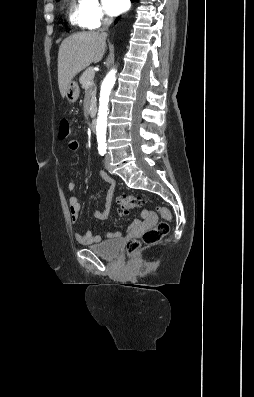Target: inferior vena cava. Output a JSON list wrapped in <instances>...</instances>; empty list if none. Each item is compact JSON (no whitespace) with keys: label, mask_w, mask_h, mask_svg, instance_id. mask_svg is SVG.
<instances>
[{"label":"inferior vena cava","mask_w":254,"mask_h":397,"mask_svg":"<svg viewBox=\"0 0 254 397\" xmlns=\"http://www.w3.org/2000/svg\"><path fill=\"white\" fill-rule=\"evenodd\" d=\"M111 23H112V19H105V20H104L103 26H102V28L100 29V31H101L100 35H101V37H102L103 39H106V37H107L106 30H107L108 27L111 25Z\"/></svg>","instance_id":"obj_1"}]
</instances>
